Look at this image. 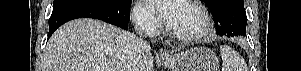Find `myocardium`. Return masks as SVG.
Masks as SVG:
<instances>
[{"mask_svg": "<svg viewBox=\"0 0 301 71\" xmlns=\"http://www.w3.org/2000/svg\"><path fill=\"white\" fill-rule=\"evenodd\" d=\"M182 2L185 3L186 5L190 6L191 8H193L200 15L201 20H202L201 28L199 29L198 32H196L194 34L179 33L177 31L173 30L169 26L167 27V31L173 38H175L176 40H179L181 42H186V43L199 42L210 33L211 17L209 15V13L206 11V9L202 5H200L198 2L186 1V0H182Z\"/></svg>", "mask_w": 301, "mask_h": 71, "instance_id": "myocardium-1", "label": "myocardium"}]
</instances>
